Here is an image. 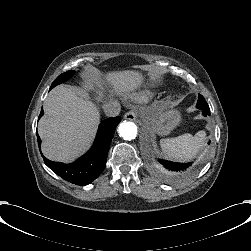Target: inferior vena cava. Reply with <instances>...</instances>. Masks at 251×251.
<instances>
[{
    "label": "inferior vena cava",
    "mask_w": 251,
    "mask_h": 251,
    "mask_svg": "<svg viewBox=\"0 0 251 251\" xmlns=\"http://www.w3.org/2000/svg\"><path fill=\"white\" fill-rule=\"evenodd\" d=\"M102 108L108 117L118 116L121 111V106L117 101H109L103 104Z\"/></svg>",
    "instance_id": "obj_1"
}]
</instances>
